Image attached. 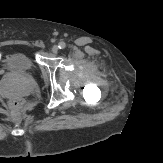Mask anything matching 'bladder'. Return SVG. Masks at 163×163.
I'll return each mask as SVG.
<instances>
[{"mask_svg": "<svg viewBox=\"0 0 163 163\" xmlns=\"http://www.w3.org/2000/svg\"><path fill=\"white\" fill-rule=\"evenodd\" d=\"M6 65L15 71L31 72L35 68L33 58L26 53H13L6 58Z\"/></svg>", "mask_w": 163, "mask_h": 163, "instance_id": "1", "label": "bladder"}]
</instances>
